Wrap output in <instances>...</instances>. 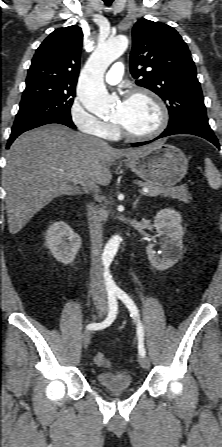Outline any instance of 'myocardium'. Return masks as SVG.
<instances>
[{
    "mask_svg": "<svg viewBox=\"0 0 222 447\" xmlns=\"http://www.w3.org/2000/svg\"><path fill=\"white\" fill-rule=\"evenodd\" d=\"M137 96H145V97L149 98L156 105V107L159 111V115H160V121H159L158 126L156 127L155 130H153L149 133L135 134V133L130 132L119 121H115L117 129L122 136L126 137L127 139L134 140V141H145V140H150V139L156 138L159 135H161L168 126V123H169L168 109H167L165 103L163 102V100L157 94H155L151 90L144 89V88H138V89L132 90L131 92H129L127 94L126 100L133 99Z\"/></svg>",
    "mask_w": 222,
    "mask_h": 447,
    "instance_id": "f54148a6",
    "label": "myocardium"
}]
</instances>
